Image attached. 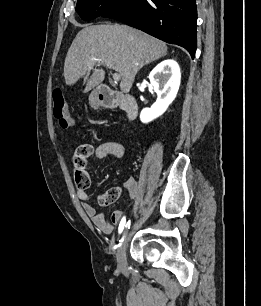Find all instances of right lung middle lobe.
I'll return each instance as SVG.
<instances>
[{
	"label": "right lung middle lobe",
	"mask_w": 261,
	"mask_h": 306,
	"mask_svg": "<svg viewBox=\"0 0 261 306\" xmlns=\"http://www.w3.org/2000/svg\"><path fill=\"white\" fill-rule=\"evenodd\" d=\"M124 0H78L76 11L84 20H92L122 3Z\"/></svg>",
	"instance_id": "right-lung-middle-lobe-1"
}]
</instances>
